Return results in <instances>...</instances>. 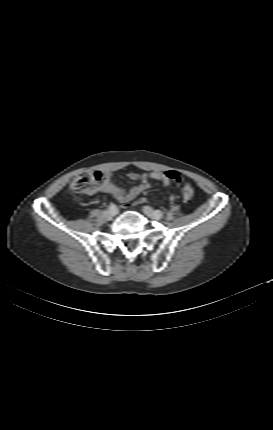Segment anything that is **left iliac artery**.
I'll return each mask as SVG.
<instances>
[{
    "label": "left iliac artery",
    "instance_id": "obj_1",
    "mask_svg": "<svg viewBox=\"0 0 273 430\" xmlns=\"http://www.w3.org/2000/svg\"><path fill=\"white\" fill-rule=\"evenodd\" d=\"M157 212H158V214H159L160 216H162V212H161V211L157 210Z\"/></svg>",
    "mask_w": 273,
    "mask_h": 430
}]
</instances>
